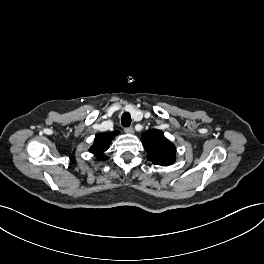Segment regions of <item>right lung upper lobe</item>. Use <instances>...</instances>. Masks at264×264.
Segmentation results:
<instances>
[{
	"label": "right lung upper lobe",
	"mask_w": 264,
	"mask_h": 264,
	"mask_svg": "<svg viewBox=\"0 0 264 264\" xmlns=\"http://www.w3.org/2000/svg\"><path fill=\"white\" fill-rule=\"evenodd\" d=\"M118 134V131L96 134L94 144L91 146L90 152L96 157L103 159V153L110 147L112 139Z\"/></svg>",
	"instance_id": "cb5924a9"
}]
</instances>
